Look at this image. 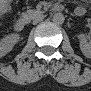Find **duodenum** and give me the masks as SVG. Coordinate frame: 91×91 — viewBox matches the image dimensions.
Instances as JSON below:
<instances>
[{"instance_id":"410a0bca","label":"duodenum","mask_w":91,"mask_h":91,"mask_svg":"<svg viewBox=\"0 0 91 91\" xmlns=\"http://www.w3.org/2000/svg\"><path fill=\"white\" fill-rule=\"evenodd\" d=\"M52 10L55 12H60L63 10V5L61 3H55L52 7ZM27 22L23 18L15 20L13 27L16 31H22L26 27Z\"/></svg>"}]
</instances>
